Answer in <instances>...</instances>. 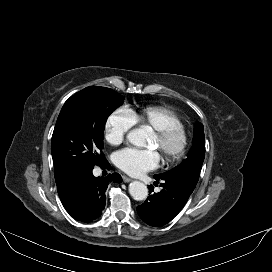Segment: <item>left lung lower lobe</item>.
I'll list each match as a JSON object with an SVG mask.
<instances>
[{
	"instance_id": "1",
	"label": "left lung lower lobe",
	"mask_w": 272,
	"mask_h": 272,
	"mask_svg": "<svg viewBox=\"0 0 272 272\" xmlns=\"http://www.w3.org/2000/svg\"><path fill=\"white\" fill-rule=\"evenodd\" d=\"M163 189L159 193L148 196L146 201L137 207L140 218L150 226H163L170 222L184 207L194 188L169 178H160ZM153 191L150 186L149 192Z\"/></svg>"
}]
</instances>
